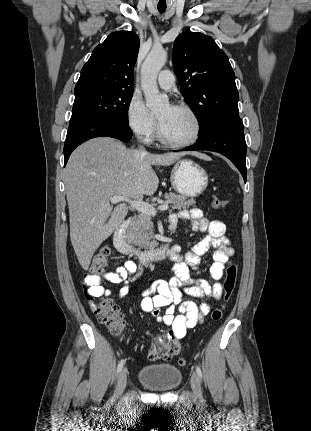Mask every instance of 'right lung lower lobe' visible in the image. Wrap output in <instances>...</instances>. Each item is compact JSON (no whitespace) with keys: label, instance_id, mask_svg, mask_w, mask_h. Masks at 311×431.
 Masks as SVG:
<instances>
[{"label":"right lung lower lobe","instance_id":"98d812e1","mask_svg":"<svg viewBox=\"0 0 311 431\" xmlns=\"http://www.w3.org/2000/svg\"><path fill=\"white\" fill-rule=\"evenodd\" d=\"M108 136L128 141L132 131L128 123H121L107 118H85L70 123L64 144V166L72 151L83 142L95 138Z\"/></svg>","mask_w":311,"mask_h":431}]
</instances>
